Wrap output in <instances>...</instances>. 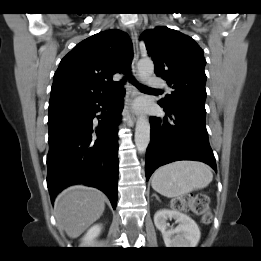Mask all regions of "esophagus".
<instances>
[{"label":"esophagus","mask_w":261,"mask_h":261,"mask_svg":"<svg viewBox=\"0 0 261 261\" xmlns=\"http://www.w3.org/2000/svg\"><path fill=\"white\" fill-rule=\"evenodd\" d=\"M131 40L133 44V61H132V74L135 78H138V70L137 63L139 60V46H138V34L134 27L130 30ZM138 94V90L132 84H128L127 86V103H126V112L129 117L136 121L137 114L133 106V101L136 95Z\"/></svg>","instance_id":"34e87169"}]
</instances>
